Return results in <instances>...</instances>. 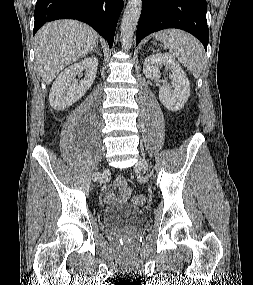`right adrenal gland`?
Listing matches in <instances>:
<instances>
[{
  "label": "right adrenal gland",
  "instance_id": "2a0ac1e0",
  "mask_svg": "<svg viewBox=\"0 0 253 285\" xmlns=\"http://www.w3.org/2000/svg\"><path fill=\"white\" fill-rule=\"evenodd\" d=\"M93 52H97L98 53V55L99 56H101V54L99 53V51H98V48H97V46L91 51V53H93Z\"/></svg>",
  "mask_w": 253,
  "mask_h": 285
}]
</instances>
